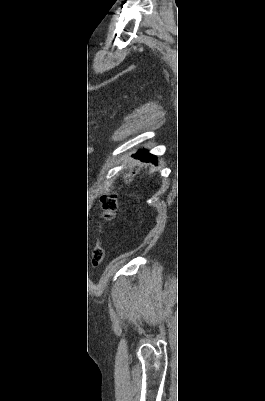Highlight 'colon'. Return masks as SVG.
<instances>
[{"mask_svg":"<svg viewBox=\"0 0 265 401\" xmlns=\"http://www.w3.org/2000/svg\"><path fill=\"white\" fill-rule=\"evenodd\" d=\"M130 179V175L125 176L124 181L127 182ZM101 206L103 213L107 218H112L117 210V194L115 192H109L101 197ZM104 258V249L97 247L92 256V265L94 268H98Z\"/></svg>","mask_w":265,"mask_h":401,"instance_id":"1","label":"colon"}]
</instances>
